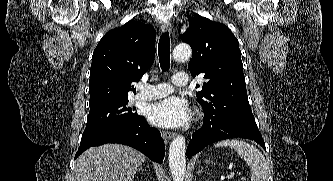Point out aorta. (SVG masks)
<instances>
[{
    "label": "aorta",
    "instance_id": "762f6f07",
    "mask_svg": "<svg viewBox=\"0 0 333 181\" xmlns=\"http://www.w3.org/2000/svg\"><path fill=\"white\" fill-rule=\"evenodd\" d=\"M191 55L192 50L186 44L178 45L173 50V58L175 61L188 60ZM185 145V137L182 135L176 136L170 144L169 169L173 181H184L186 173Z\"/></svg>",
    "mask_w": 333,
    "mask_h": 181
}]
</instances>
